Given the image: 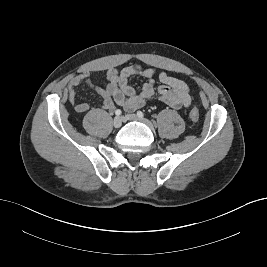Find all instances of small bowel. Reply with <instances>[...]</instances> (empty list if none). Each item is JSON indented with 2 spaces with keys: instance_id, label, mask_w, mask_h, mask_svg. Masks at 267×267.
Returning a JSON list of instances; mask_svg holds the SVG:
<instances>
[{
  "instance_id": "obj_1",
  "label": "small bowel",
  "mask_w": 267,
  "mask_h": 267,
  "mask_svg": "<svg viewBox=\"0 0 267 267\" xmlns=\"http://www.w3.org/2000/svg\"><path fill=\"white\" fill-rule=\"evenodd\" d=\"M141 76L146 81L136 90L130 85V79ZM106 85L96 87L93 85L89 72L81 73L73 77L68 83L69 102L75 111L84 114L90 110L87 103L76 102L77 88L86 83L95 88L102 99V108L113 110L116 105L125 111L131 112L142 108L147 101L158 97L159 100L174 109L186 108L191 104V96L188 85L181 79L162 71L158 74L153 67H144L140 64H130L118 70L110 68L105 73Z\"/></svg>"
}]
</instances>
